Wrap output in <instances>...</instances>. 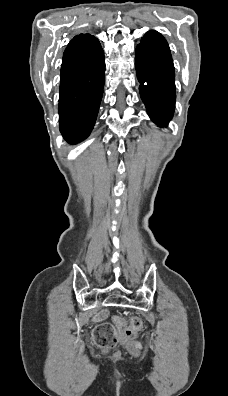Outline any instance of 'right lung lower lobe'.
Masks as SVG:
<instances>
[{
	"label": "right lung lower lobe",
	"instance_id": "obj_1",
	"mask_svg": "<svg viewBox=\"0 0 228 396\" xmlns=\"http://www.w3.org/2000/svg\"><path fill=\"white\" fill-rule=\"evenodd\" d=\"M74 38L63 55L58 108L60 131L71 144L90 134L105 80L104 52L99 41L92 48H83Z\"/></svg>",
	"mask_w": 228,
	"mask_h": 396
}]
</instances>
